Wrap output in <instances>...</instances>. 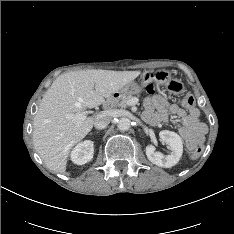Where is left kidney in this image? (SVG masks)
Segmentation results:
<instances>
[{
  "label": "left kidney",
  "mask_w": 234,
  "mask_h": 234,
  "mask_svg": "<svg viewBox=\"0 0 234 234\" xmlns=\"http://www.w3.org/2000/svg\"><path fill=\"white\" fill-rule=\"evenodd\" d=\"M162 141L169 145L171 154L164 156L161 152L156 151L153 145L146 147V155L149 161L157 166L170 168L176 165L183 153V142L181 137L172 131L163 130L159 133Z\"/></svg>",
  "instance_id": "obj_1"
}]
</instances>
